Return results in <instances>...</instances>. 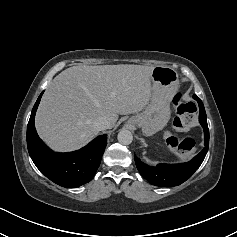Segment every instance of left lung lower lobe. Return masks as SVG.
<instances>
[{
	"label": "left lung lower lobe",
	"mask_w": 237,
	"mask_h": 237,
	"mask_svg": "<svg viewBox=\"0 0 237 237\" xmlns=\"http://www.w3.org/2000/svg\"><path fill=\"white\" fill-rule=\"evenodd\" d=\"M193 98H197L196 95ZM199 122L204 129V148L191 161L182 164H159L155 167L144 164L135 156V163L141 175L151 184L160 187L177 186L189 179L202 164L209 147V129L206 112L200 107Z\"/></svg>",
	"instance_id": "0a47b994"
}]
</instances>
